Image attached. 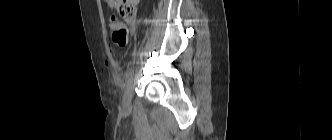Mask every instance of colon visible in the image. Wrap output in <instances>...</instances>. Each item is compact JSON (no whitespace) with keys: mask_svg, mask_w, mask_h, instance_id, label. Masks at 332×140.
<instances>
[{"mask_svg":"<svg viewBox=\"0 0 332 140\" xmlns=\"http://www.w3.org/2000/svg\"><path fill=\"white\" fill-rule=\"evenodd\" d=\"M140 0H106L122 18L131 19L136 15ZM112 39L118 45H124L127 41V29L115 16L110 19Z\"/></svg>","mask_w":332,"mask_h":140,"instance_id":"colon-1","label":"colon"}]
</instances>
